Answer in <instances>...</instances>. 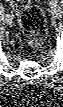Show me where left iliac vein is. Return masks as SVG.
I'll list each match as a JSON object with an SVG mask.
<instances>
[{
	"instance_id": "left-iliac-vein-1",
	"label": "left iliac vein",
	"mask_w": 63,
	"mask_h": 107,
	"mask_svg": "<svg viewBox=\"0 0 63 107\" xmlns=\"http://www.w3.org/2000/svg\"><path fill=\"white\" fill-rule=\"evenodd\" d=\"M52 15H53L54 18L59 19V18L62 16V11H61V9H60L59 7L54 8V9L52 10Z\"/></svg>"
}]
</instances>
